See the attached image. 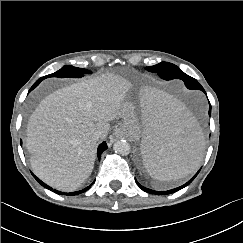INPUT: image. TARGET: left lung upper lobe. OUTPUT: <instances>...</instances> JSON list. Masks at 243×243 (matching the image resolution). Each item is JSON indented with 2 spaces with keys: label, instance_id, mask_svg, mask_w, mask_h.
I'll return each mask as SVG.
<instances>
[{
  "label": "left lung upper lobe",
  "instance_id": "5c2ea615",
  "mask_svg": "<svg viewBox=\"0 0 243 243\" xmlns=\"http://www.w3.org/2000/svg\"><path fill=\"white\" fill-rule=\"evenodd\" d=\"M149 72L158 73L165 80L181 79L186 83L198 84L197 80L182 72L176 65L168 62H161L146 68Z\"/></svg>",
  "mask_w": 243,
  "mask_h": 243
}]
</instances>
